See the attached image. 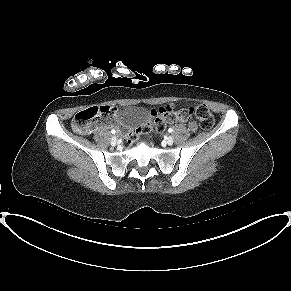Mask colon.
Here are the masks:
<instances>
[{
	"label": "colon",
	"instance_id": "colon-1",
	"mask_svg": "<svg viewBox=\"0 0 291 291\" xmlns=\"http://www.w3.org/2000/svg\"><path fill=\"white\" fill-rule=\"evenodd\" d=\"M177 108L172 105H166L159 110L152 123L145 122L138 127L135 132L129 134L131 141L135 140L138 133L146 134L152 129L161 132L165 129L166 124L172 122ZM189 114H194L200 126L209 130L214 125V117L209 108L204 104H193L188 109ZM117 115L116 108L112 106H91L82 111H79L73 119L72 125L75 131L87 134L95 126L108 123Z\"/></svg>",
	"mask_w": 291,
	"mask_h": 291
}]
</instances>
